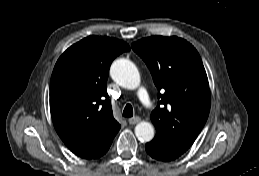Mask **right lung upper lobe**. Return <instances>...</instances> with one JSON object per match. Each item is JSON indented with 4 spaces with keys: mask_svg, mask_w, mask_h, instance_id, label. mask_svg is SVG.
Segmentation results:
<instances>
[{
    "mask_svg": "<svg viewBox=\"0 0 259 176\" xmlns=\"http://www.w3.org/2000/svg\"><path fill=\"white\" fill-rule=\"evenodd\" d=\"M130 50L124 41L89 36L58 59L50 81V111L55 130L76 155L92 159L110 147L120 129L106 91L116 56Z\"/></svg>",
    "mask_w": 259,
    "mask_h": 176,
    "instance_id": "obj_1",
    "label": "right lung upper lobe"
}]
</instances>
